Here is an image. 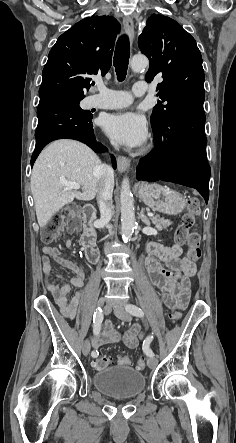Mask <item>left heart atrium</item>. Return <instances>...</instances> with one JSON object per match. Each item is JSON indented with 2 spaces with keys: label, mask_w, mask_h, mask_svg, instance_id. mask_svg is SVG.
I'll return each mask as SVG.
<instances>
[{
  "label": "left heart atrium",
  "mask_w": 236,
  "mask_h": 443,
  "mask_svg": "<svg viewBox=\"0 0 236 443\" xmlns=\"http://www.w3.org/2000/svg\"><path fill=\"white\" fill-rule=\"evenodd\" d=\"M104 130L111 139L130 147L143 145L148 134L145 119L134 112L109 115L104 121Z\"/></svg>",
  "instance_id": "obj_1"
}]
</instances>
